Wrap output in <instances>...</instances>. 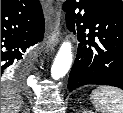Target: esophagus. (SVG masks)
<instances>
[{"label":"esophagus","instance_id":"obj_1","mask_svg":"<svg viewBox=\"0 0 123 113\" xmlns=\"http://www.w3.org/2000/svg\"><path fill=\"white\" fill-rule=\"evenodd\" d=\"M61 24H62L61 12L59 9H56V17H55L54 25L51 31L47 34V38H46V48L51 52L55 50V47L60 41L61 34H62Z\"/></svg>","mask_w":123,"mask_h":113}]
</instances>
